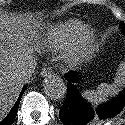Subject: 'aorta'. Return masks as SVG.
Wrapping results in <instances>:
<instances>
[{"mask_svg":"<svg viewBox=\"0 0 125 125\" xmlns=\"http://www.w3.org/2000/svg\"><path fill=\"white\" fill-rule=\"evenodd\" d=\"M44 92L53 100L63 99L67 92L65 82L59 76H49L44 81Z\"/></svg>","mask_w":125,"mask_h":125,"instance_id":"1","label":"aorta"}]
</instances>
